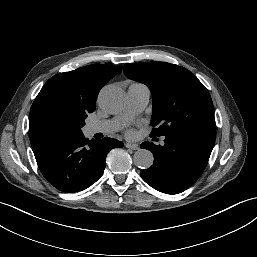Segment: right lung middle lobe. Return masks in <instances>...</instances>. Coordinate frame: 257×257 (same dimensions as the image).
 <instances>
[{"label":"right lung middle lobe","mask_w":257,"mask_h":257,"mask_svg":"<svg viewBox=\"0 0 257 257\" xmlns=\"http://www.w3.org/2000/svg\"><path fill=\"white\" fill-rule=\"evenodd\" d=\"M95 109L60 93L48 95L37 107L34 116L36 127L50 135H80L88 113Z\"/></svg>","instance_id":"1"}]
</instances>
